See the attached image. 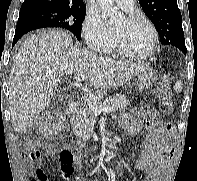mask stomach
I'll list each match as a JSON object with an SVG mask.
<instances>
[{
    "mask_svg": "<svg viewBox=\"0 0 197 181\" xmlns=\"http://www.w3.org/2000/svg\"><path fill=\"white\" fill-rule=\"evenodd\" d=\"M155 80V71L150 67H145L135 76L134 83L138 91H144L149 89Z\"/></svg>",
    "mask_w": 197,
    "mask_h": 181,
    "instance_id": "1",
    "label": "stomach"
}]
</instances>
